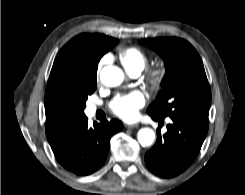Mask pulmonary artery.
I'll return each mask as SVG.
<instances>
[{"instance_id": "pulmonary-artery-1", "label": "pulmonary artery", "mask_w": 245, "mask_h": 195, "mask_svg": "<svg viewBox=\"0 0 245 195\" xmlns=\"http://www.w3.org/2000/svg\"><path fill=\"white\" fill-rule=\"evenodd\" d=\"M129 74H130L131 76H133V77H137V76H139L140 72H139V71H133V72H130ZM89 111H90L91 113H94V112L96 111V107H95L94 105H90V106H89Z\"/></svg>"}]
</instances>
